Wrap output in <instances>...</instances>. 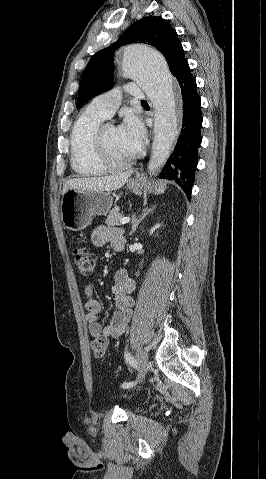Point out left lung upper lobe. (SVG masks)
I'll return each instance as SVG.
<instances>
[{"label": "left lung upper lobe", "instance_id": "obj_1", "mask_svg": "<svg viewBox=\"0 0 266 479\" xmlns=\"http://www.w3.org/2000/svg\"><path fill=\"white\" fill-rule=\"evenodd\" d=\"M154 46L166 58L173 75L187 60L176 31L162 17H145L134 23L111 46L100 50L90 59L81 81L77 107L113 86V55L129 43Z\"/></svg>", "mask_w": 266, "mask_h": 479}]
</instances>
